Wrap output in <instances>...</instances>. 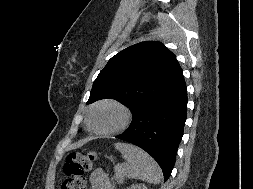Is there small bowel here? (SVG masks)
I'll list each match as a JSON object with an SVG mask.
<instances>
[{
  "mask_svg": "<svg viewBox=\"0 0 253 189\" xmlns=\"http://www.w3.org/2000/svg\"><path fill=\"white\" fill-rule=\"evenodd\" d=\"M90 189H115L108 175L101 169L94 170L89 177Z\"/></svg>",
  "mask_w": 253,
  "mask_h": 189,
  "instance_id": "small-bowel-1",
  "label": "small bowel"
}]
</instances>
